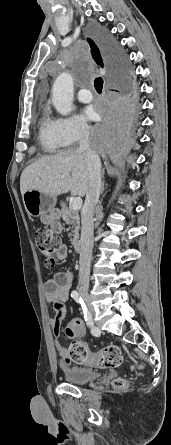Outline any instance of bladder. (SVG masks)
Returning a JSON list of instances; mask_svg holds the SVG:
<instances>
[{
  "mask_svg": "<svg viewBox=\"0 0 171 445\" xmlns=\"http://www.w3.org/2000/svg\"><path fill=\"white\" fill-rule=\"evenodd\" d=\"M100 372L93 368H70L65 371V379L71 384H87L99 378Z\"/></svg>",
  "mask_w": 171,
  "mask_h": 445,
  "instance_id": "obj_1",
  "label": "bladder"
}]
</instances>
